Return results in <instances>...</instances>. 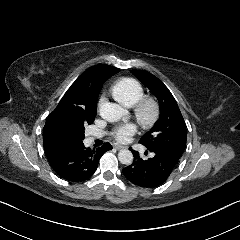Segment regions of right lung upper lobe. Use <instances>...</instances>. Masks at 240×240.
I'll list each match as a JSON object with an SVG mask.
<instances>
[{
    "instance_id": "obj_1",
    "label": "right lung upper lobe",
    "mask_w": 240,
    "mask_h": 240,
    "mask_svg": "<svg viewBox=\"0 0 240 240\" xmlns=\"http://www.w3.org/2000/svg\"><path fill=\"white\" fill-rule=\"evenodd\" d=\"M117 72L118 68L99 64L90 67L79 76L48 116L43 129L45 151L61 147L56 140L55 132L57 123L62 117L75 114L96 115L97 98L102 86Z\"/></svg>"
}]
</instances>
